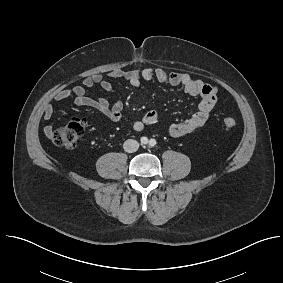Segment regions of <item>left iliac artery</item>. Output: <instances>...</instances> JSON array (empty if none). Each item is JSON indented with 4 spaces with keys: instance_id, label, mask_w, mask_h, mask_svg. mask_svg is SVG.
<instances>
[{
    "instance_id": "44dca946",
    "label": "left iliac artery",
    "mask_w": 283,
    "mask_h": 283,
    "mask_svg": "<svg viewBox=\"0 0 283 283\" xmlns=\"http://www.w3.org/2000/svg\"><path fill=\"white\" fill-rule=\"evenodd\" d=\"M149 145H150L151 147L155 146V145H156V140H155V139H151V140L149 141Z\"/></svg>"
}]
</instances>
